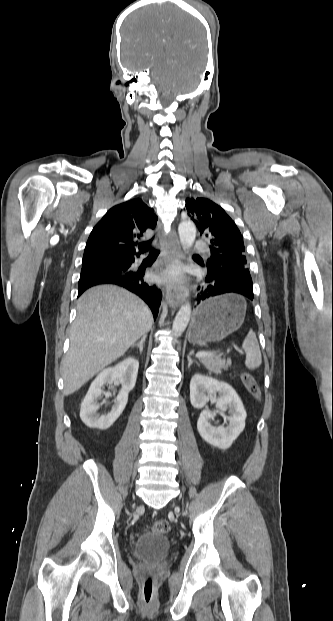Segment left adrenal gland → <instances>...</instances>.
<instances>
[{"mask_svg": "<svg viewBox=\"0 0 333 621\" xmlns=\"http://www.w3.org/2000/svg\"><path fill=\"white\" fill-rule=\"evenodd\" d=\"M191 354H192V352H190L189 355L187 356V359H188V369L191 367V365L193 363H195L196 365H199V363L196 360H192Z\"/></svg>", "mask_w": 333, "mask_h": 621, "instance_id": "left-adrenal-gland-1", "label": "left adrenal gland"}]
</instances>
